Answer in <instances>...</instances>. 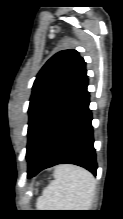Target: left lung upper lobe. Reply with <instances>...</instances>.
<instances>
[{"label":"left lung upper lobe","mask_w":123,"mask_h":219,"mask_svg":"<svg viewBox=\"0 0 123 219\" xmlns=\"http://www.w3.org/2000/svg\"><path fill=\"white\" fill-rule=\"evenodd\" d=\"M85 64L76 50H63L51 57L38 73L28 109L27 160L46 122L87 77Z\"/></svg>","instance_id":"1"}]
</instances>
